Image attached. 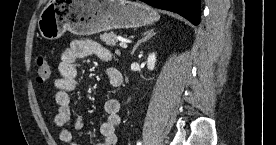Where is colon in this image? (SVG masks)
<instances>
[{
    "instance_id": "1",
    "label": "colon",
    "mask_w": 276,
    "mask_h": 145,
    "mask_svg": "<svg viewBox=\"0 0 276 145\" xmlns=\"http://www.w3.org/2000/svg\"><path fill=\"white\" fill-rule=\"evenodd\" d=\"M51 77V66L43 57L36 61V79L39 83L47 82Z\"/></svg>"
}]
</instances>
